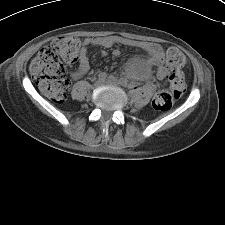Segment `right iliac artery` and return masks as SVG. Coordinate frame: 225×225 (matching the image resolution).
Returning a JSON list of instances; mask_svg holds the SVG:
<instances>
[{
    "mask_svg": "<svg viewBox=\"0 0 225 225\" xmlns=\"http://www.w3.org/2000/svg\"><path fill=\"white\" fill-rule=\"evenodd\" d=\"M107 78V73L105 72H101L99 75H98V79L99 80H105Z\"/></svg>",
    "mask_w": 225,
    "mask_h": 225,
    "instance_id": "right-iliac-artery-1",
    "label": "right iliac artery"
}]
</instances>
